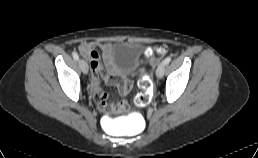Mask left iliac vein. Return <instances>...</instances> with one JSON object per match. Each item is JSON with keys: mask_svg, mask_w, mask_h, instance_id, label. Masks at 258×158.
Returning <instances> with one entry per match:
<instances>
[{"mask_svg": "<svg viewBox=\"0 0 258 158\" xmlns=\"http://www.w3.org/2000/svg\"><path fill=\"white\" fill-rule=\"evenodd\" d=\"M164 72H165V64L164 63H161L157 70H156V76L161 79L164 75Z\"/></svg>", "mask_w": 258, "mask_h": 158, "instance_id": "left-iliac-vein-1", "label": "left iliac vein"}]
</instances>
